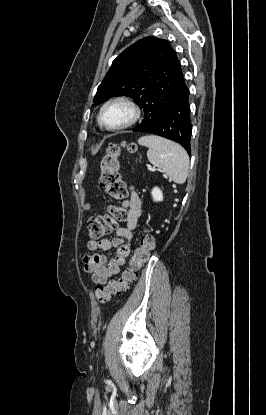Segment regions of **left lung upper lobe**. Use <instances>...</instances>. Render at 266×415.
I'll list each match as a JSON object with an SVG mask.
<instances>
[{"instance_id": "5c2ea615", "label": "left lung upper lobe", "mask_w": 266, "mask_h": 415, "mask_svg": "<svg viewBox=\"0 0 266 415\" xmlns=\"http://www.w3.org/2000/svg\"><path fill=\"white\" fill-rule=\"evenodd\" d=\"M184 86L180 62L168 41L146 37L113 61L93 102L99 105L114 96L133 97L144 111L143 121L133 131H141L160 118Z\"/></svg>"}]
</instances>
